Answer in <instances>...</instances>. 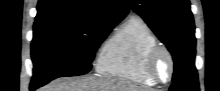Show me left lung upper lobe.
Here are the masks:
<instances>
[{
    "instance_id": "left-lung-upper-lobe-1",
    "label": "left lung upper lobe",
    "mask_w": 220,
    "mask_h": 91,
    "mask_svg": "<svg viewBox=\"0 0 220 91\" xmlns=\"http://www.w3.org/2000/svg\"><path fill=\"white\" fill-rule=\"evenodd\" d=\"M174 60L170 91H199L195 68V26L189 0H128Z\"/></svg>"
}]
</instances>
